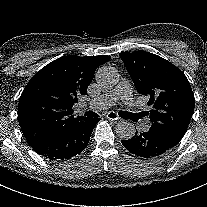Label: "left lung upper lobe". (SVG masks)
Wrapping results in <instances>:
<instances>
[{"instance_id":"obj_1","label":"left lung upper lobe","mask_w":207,"mask_h":207,"mask_svg":"<svg viewBox=\"0 0 207 207\" xmlns=\"http://www.w3.org/2000/svg\"><path fill=\"white\" fill-rule=\"evenodd\" d=\"M138 93L146 96L150 111H145L151 129L178 144L185 135L195 106L190 83L184 73L164 58L145 51L121 52Z\"/></svg>"}]
</instances>
